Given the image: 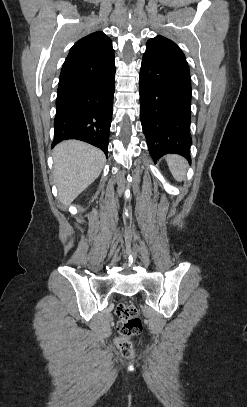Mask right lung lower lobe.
<instances>
[{
	"label": "right lung lower lobe",
	"mask_w": 247,
	"mask_h": 407,
	"mask_svg": "<svg viewBox=\"0 0 247 407\" xmlns=\"http://www.w3.org/2000/svg\"><path fill=\"white\" fill-rule=\"evenodd\" d=\"M114 90V57L81 78L58 86L52 147L66 139H77L107 155Z\"/></svg>",
	"instance_id": "98d812e1"
}]
</instances>
